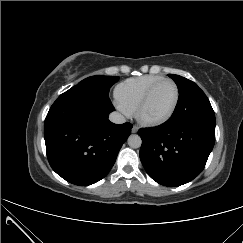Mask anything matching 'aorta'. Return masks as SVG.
Returning a JSON list of instances; mask_svg holds the SVG:
<instances>
[{"instance_id":"obj_1","label":"aorta","mask_w":243,"mask_h":243,"mask_svg":"<svg viewBox=\"0 0 243 243\" xmlns=\"http://www.w3.org/2000/svg\"><path fill=\"white\" fill-rule=\"evenodd\" d=\"M141 144H142V140L139 135L132 134L128 137V145L131 148H134V149L139 148V147H141Z\"/></svg>"}]
</instances>
